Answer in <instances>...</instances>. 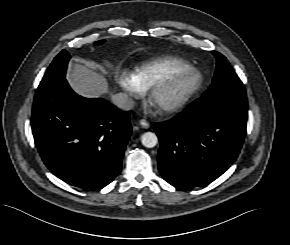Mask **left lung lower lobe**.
<instances>
[{"label":"left lung lower lobe","mask_w":290,"mask_h":245,"mask_svg":"<svg viewBox=\"0 0 290 245\" xmlns=\"http://www.w3.org/2000/svg\"><path fill=\"white\" fill-rule=\"evenodd\" d=\"M247 96L243 85L206 92L154 130L160 141L158 169L179 188L208 184L236 160L246 134Z\"/></svg>","instance_id":"1"}]
</instances>
